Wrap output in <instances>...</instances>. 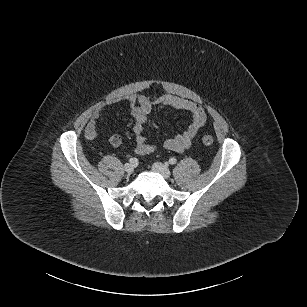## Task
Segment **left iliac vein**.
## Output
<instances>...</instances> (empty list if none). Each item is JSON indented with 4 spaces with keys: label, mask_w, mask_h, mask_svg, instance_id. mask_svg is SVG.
I'll return each mask as SVG.
<instances>
[{
    "label": "left iliac vein",
    "mask_w": 307,
    "mask_h": 307,
    "mask_svg": "<svg viewBox=\"0 0 307 307\" xmlns=\"http://www.w3.org/2000/svg\"><path fill=\"white\" fill-rule=\"evenodd\" d=\"M152 170L159 173L165 179H169L171 176V171L169 170V168L166 165L159 162H155L152 165Z\"/></svg>",
    "instance_id": "obj_1"
}]
</instances>
